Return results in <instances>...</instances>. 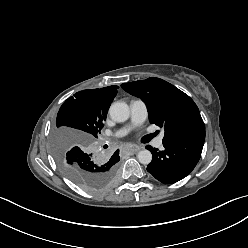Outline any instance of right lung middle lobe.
Here are the masks:
<instances>
[{
    "label": "right lung middle lobe",
    "instance_id": "1",
    "mask_svg": "<svg viewBox=\"0 0 248 248\" xmlns=\"http://www.w3.org/2000/svg\"><path fill=\"white\" fill-rule=\"evenodd\" d=\"M107 113L95 111L88 107L85 97L76 93L68 98L61 106L56 120V126H67L82 132H78L88 140L98 137ZM84 132V133H83ZM69 132L56 130L54 153L63 172L77 185L88 191H99L107 187L114 179L119 159L106 156H97L86 148L73 147L67 153L64 150L65 143L71 138L77 137ZM76 144L75 142H73Z\"/></svg>",
    "mask_w": 248,
    "mask_h": 248
}]
</instances>
